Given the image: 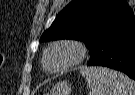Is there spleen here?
Wrapping results in <instances>:
<instances>
[{
    "mask_svg": "<svg viewBox=\"0 0 135 95\" xmlns=\"http://www.w3.org/2000/svg\"><path fill=\"white\" fill-rule=\"evenodd\" d=\"M89 95H135V82L128 76L104 67H80Z\"/></svg>",
    "mask_w": 135,
    "mask_h": 95,
    "instance_id": "spleen-1",
    "label": "spleen"
}]
</instances>
